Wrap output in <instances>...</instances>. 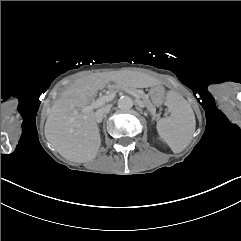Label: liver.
<instances>
[{
  "mask_svg": "<svg viewBox=\"0 0 241 241\" xmlns=\"http://www.w3.org/2000/svg\"><path fill=\"white\" fill-rule=\"evenodd\" d=\"M122 74L94 73L73 83L55 101L45 123L44 133L57 152L69 161L85 163L93 160L100 148L99 128L93 111L83 113L99 89L119 84ZM151 85V83H148Z\"/></svg>",
  "mask_w": 241,
  "mask_h": 241,
  "instance_id": "liver-1",
  "label": "liver"
}]
</instances>
